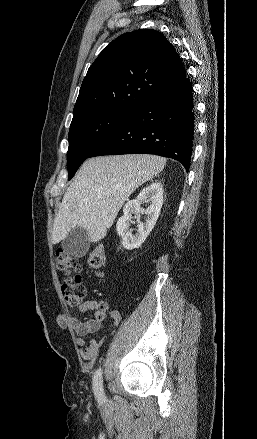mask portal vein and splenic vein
Here are the masks:
<instances>
[{
	"label": "portal vein and splenic vein",
	"instance_id": "18ae733b",
	"mask_svg": "<svg viewBox=\"0 0 257 439\" xmlns=\"http://www.w3.org/2000/svg\"><path fill=\"white\" fill-rule=\"evenodd\" d=\"M98 197H100V198H101V197H102V195L100 194V195H98Z\"/></svg>",
	"mask_w": 257,
	"mask_h": 439
}]
</instances>
